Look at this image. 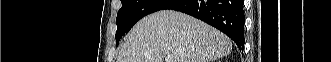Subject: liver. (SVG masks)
Masks as SVG:
<instances>
[{
    "instance_id": "1",
    "label": "liver",
    "mask_w": 331,
    "mask_h": 62,
    "mask_svg": "<svg viewBox=\"0 0 331 62\" xmlns=\"http://www.w3.org/2000/svg\"><path fill=\"white\" fill-rule=\"evenodd\" d=\"M232 41L187 14L163 10L141 19L121 44L117 62H211L230 54Z\"/></svg>"
}]
</instances>
